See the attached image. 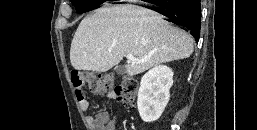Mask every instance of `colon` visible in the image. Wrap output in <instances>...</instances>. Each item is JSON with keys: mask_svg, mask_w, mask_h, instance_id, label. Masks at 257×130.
Returning <instances> with one entry per match:
<instances>
[{"mask_svg": "<svg viewBox=\"0 0 257 130\" xmlns=\"http://www.w3.org/2000/svg\"><path fill=\"white\" fill-rule=\"evenodd\" d=\"M71 81L78 99L84 97V88L88 87L93 93L113 94L116 99L127 105L135 103L138 81L133 77H124L121 83L115 86L112 74H100L91 71H73Z\"/></svg>", "mask_w": 257, "mask_h": 130, "instance_id": "colon-1", "label": "colon"}]
</instances>
